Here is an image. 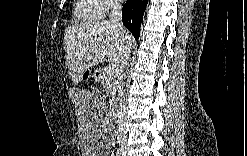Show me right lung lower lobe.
Segmentation results:
<instances>
[{
	"instance_id": "right-lung-lower-lobe-1",
	"label": "right lung lower lobe",
	"mask_w": 247,
	"mask_h": 156,
	"mask_svg": "<svg viewBox=\"0 0 247 156\" xmlns=\"http://www.w3.org/2000/svg\"><path fill=\"white\" fill-rule=\"evenodd\" d=\"M146 0H127L122 9L124 26L138 39Z\"/></svg>"
}]
</instances>
